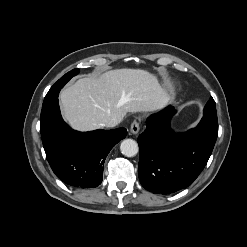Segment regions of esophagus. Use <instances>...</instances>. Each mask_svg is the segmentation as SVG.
Segmentation results:
<instances>
[{
  "label": "esophagus",
  "instance_id": "obj_1",
  "mask_svg": "<svg viewBox=\"0 0 247 247\" xmlns=\"http://www.w3.org/2000/svg\"><path fill=\"white\" fill-rule=\"evenodd\" d=\"M140 130V121L139 120H134L130 126V132L132 134H137Z\"/></svg>",
  "mask_w": 247,
  "mask_h": 247
}]
</instances>
